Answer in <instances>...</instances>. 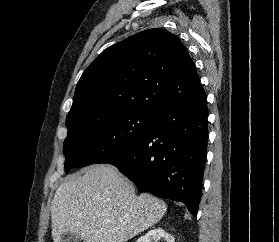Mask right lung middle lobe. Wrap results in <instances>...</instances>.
Here are the masks:
<instances>
[{
    "mask_svg": "<svg viewBox=\"0 0 279 242\" xmlns=\"http://www.w3.org/2000/svg\"><path fill=\"white\" fill-rule=\"evenodd\" d=\"M154 112L123 109L109 114L66 122L65 170L100 163L134 145L153 128Z\"/></svg>",
    "mask_w": 279,
    "mask_h": 242,
    "instance_id": "1",
    "label": "right lung middle lobe"
}]
</instances>
